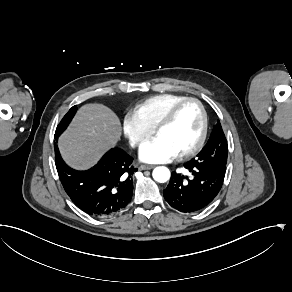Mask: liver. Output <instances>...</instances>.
<instances>
[{"label": "liver", "mask_w": 292, "mask_h": 292, "mask_svg": "<svg viewBox=\"0 0 292 292\" xmlns=\"http://www.w3.org/2000/svg\"><path fill=\"white\" fill-rule=\"evenodd\" d=\"M120 122L105 106H83L69 131L61 138V151L69 164L87 168L120 137Z\"/></svg>", "instance_id": "liver-1"}]
</instances>
